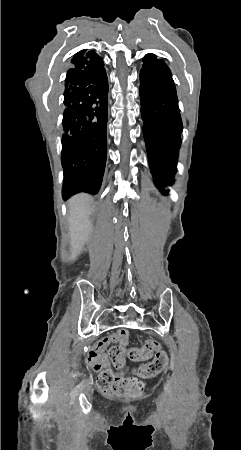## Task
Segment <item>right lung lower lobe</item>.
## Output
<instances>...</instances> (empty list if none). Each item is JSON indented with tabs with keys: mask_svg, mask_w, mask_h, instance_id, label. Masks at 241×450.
Masks as SVG:
<instances>
[{
	"mask_svg": "<svg viewBox=\"0 0 241 450\" xmlns=\"http://www.w3.org/2000/svg\"><path fill=\"white\" fill-rule=\"evenodd\" d=\"M108 79L104 63L70 68L65 79L63 198L98 193L107 157Z\"/></svg>",
	"mask_w": 241,
	"mask_h": 450,
	"instance_id": "obj_1",
	"label": "right lung lower lobe"
}]
</instances>
